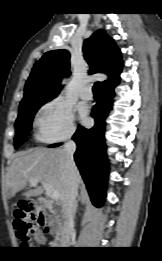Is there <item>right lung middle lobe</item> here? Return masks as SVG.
I'll list each match as a JSON object with an SVG mask.
<instances>
[{
    "label": "right lung middle lobe",
    "mask_w": 162,
    "mask_h": 261,
    "mask_svg": "<svg viewBox=\"0 0 162 261\" xmlns=\"http://www.w3.org/2000/svg\"><path fill=\"white\" fill-rule=\"evenodd\" d=\"M54 96H37L22 100L19 105V115L15 122V148L17 149L26 140L30 132L32 120L37 110Z\"/></svg>",
    "instance_id": "dd1d6c3e"
}]
</instances>
